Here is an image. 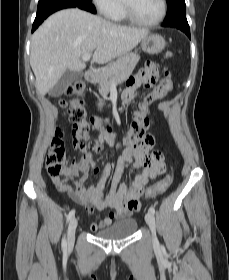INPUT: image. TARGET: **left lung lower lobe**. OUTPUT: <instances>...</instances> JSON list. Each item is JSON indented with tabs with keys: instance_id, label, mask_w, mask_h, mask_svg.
I'll list each match as a JSON object with an SVG mask.
<instances>
[{
	"instance_id": "0a47b994",
	"label": "left lung lower lobe",
	"mask_w": 229,
	"mask_h": 280,
	"mask_svg": "<svg viewBox=\"0 0 229 280\" xmlns=\"http://www.w3.org/2000/svg\"><path fill=\"white\" fill-rule=\"evenodd\" d=\"M163 27H174L177 29H180L181 31H183L189 38H191L190 36V28L187 22L186 17H180L168 22H164L162 24Z\"/></svg>"
}]
</instances>
